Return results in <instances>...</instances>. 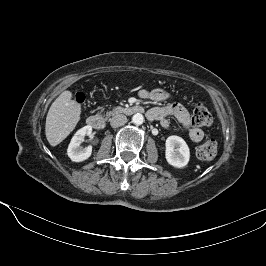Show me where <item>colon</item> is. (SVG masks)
I'll list each match as a JSON object with an SVG mask.
<instances>
[{"instance_id": "5ec220e1", "label": "colon", "mask_w": 266, "mask_h": 266, "mask_svg": "<svg viewBox=\"0 0 266 266\" xmlns=\"http://www.w3.org/2000/svg\"><path fill=\"white\" fill-rule=\"evenodd\" d=\"M79 103L84 102V95L79 93L75 97ZM212 123V116L208 109L198 103L194 107L192 115V124L196 127L209 126ZM217 154V142L214 139H208L203 142L197 149V155L202 160H211Z\"/></svg>"}]
</instances>
